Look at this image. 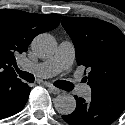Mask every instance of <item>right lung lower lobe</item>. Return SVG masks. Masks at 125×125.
I'll use <instances>...</instances> for the list:
<instances>
[{
  "label": "right lung lower lobe",
  "mask_w": 125,
  "mask_h": 125,
  "mask_svg": "<svg viewBox=\"0 0 125 125\" xmlns=\"http://www.w3.org/2000/svg\"><path fill=\"white\" fill-rule=\"evenodd\" d=\"M30 91L31 87L18 78L0 81V119L20 112Z\"/></svg>",
  "instance_id": "98d812e1"
}]
</instances>
